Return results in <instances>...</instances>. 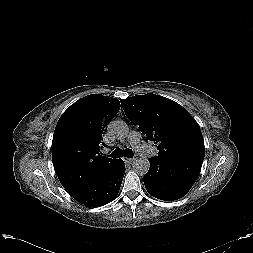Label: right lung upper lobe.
<instances>
[{"label": "right lung upper lobe", "mask_w": 253, "mask_h": 253, "mask_svg": "<svg viewBox=\"0 0 253 253\" xmlns=\"http://www.w3.org/2000/svg\"><path fill=\"white\" fill-rule=\"evenodd\" d=\"M120 109L116 98L92 94L72 104L60 117L53 135L52 160L70 195L106 176L119 159L100 152L102 133Z\"/></svg>", "instance_id": "obj_1"}]
</instances>
